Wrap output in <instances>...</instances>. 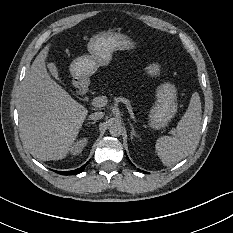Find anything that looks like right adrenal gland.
<instances>
[{
  "mask_svg": "<svg viewBox=\"0 0 233 233\" xmlns=\"http://www.w3.org/2000/svg\"><path fill=\"white\" fill-rule=\"evenodd\" d=\"M86 124H95V121H89Z\"/></svg>",
  "mask_w": 233,
  "mask_h": 233,
  "instance_id": "2a0ac1e0",
  "label": "right adrenal gland"
}]
</instances>
